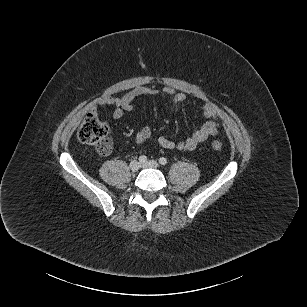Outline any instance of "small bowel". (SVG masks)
Returning <instances> with one entry per match:
<instances>
[{"instance_id": "c3829d8e", "label": "small bowel", "mask_w": 307, "mask_h": 307, "mask_svg": "<svg viewBox=\"0 0 307 307\" xmlns=\"http://www.w3.org/2000/svg\"><path fill=\"white\" fill-rule=\"evenodd\" d=\"M157 91L154 88L137 86L128 91L120 97L109 96L101 101L93 109L92 113L97 115L98 108L103 106H111L113 108L112 115L115 119L121 118L125 112L133 109L134 101L138 97L152 96ZM163 93L172 99L173 106L177 108L179 105L185 102L186 95L181 92H176L170 87H165ZM201 111L205 122L203 125L195 130L188 138L180 141H174L167 137H159L158 144L164 149L177 150V151H191L198 145L205 142L209 137L216 136L219 132V123L217 114L212 105L207 102L201 104ZM154 138L152 130L148 126L141 127L135 134V141L139 144L151 141Z\"/></svg>"}]
</instances>
